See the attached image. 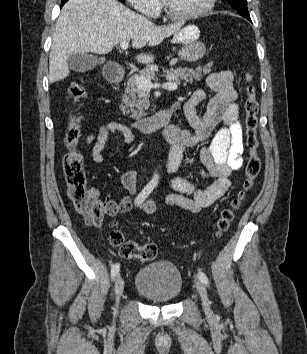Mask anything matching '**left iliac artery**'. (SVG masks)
<instances>
[{
	"label": "left iliac artery",
	"mask_w": 307,
	"mask_h": 354,
	"mask_svg": "<svg viewBox=\"0 0 307 354\" xmlns=\"http://www.w3.org/2000/svg\"><path fill=\"white\" fill-rule=\"evenodd\" d=\"M198 278H199V280H200L202 283H204L206 286L209 285L208 278H207V276H206L204 273L199 272V273H198Z\"/></svg>",
	"instance_id": "obj_1"
}]
</instances>
